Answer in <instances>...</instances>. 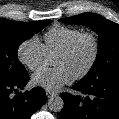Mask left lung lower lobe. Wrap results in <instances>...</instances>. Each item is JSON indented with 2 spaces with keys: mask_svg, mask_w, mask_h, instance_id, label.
I'll use <instances>...</instances> for the list:
<instances>
[{
  "mask_svg": "<svg viewBox=\"0 0 119 119\" xmlns=\"http://www.w3.org/2000/svg\"><path fill=\"white\" fill-rule=\"evenodd\" d=\"M72 88L84 96L62 93L59 119H119V78L79 81Z\"/></svg>",
  "mask_w": 119,
  "mask_h": 119,
  "instance_id": "left-lung-lower-lobe-1",
  "label": "left lung lower lobe"
}]
</instances>
